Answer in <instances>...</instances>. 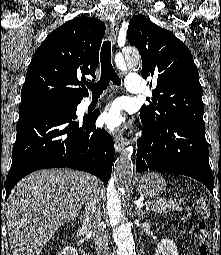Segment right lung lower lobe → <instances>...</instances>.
I'll return each instance as SVG.
<instances>
[{"mask_svg":"<svg viewBox=\"0 0 221 255\" xmlns=\"http://www.w3.org/2000/svg\"><path fill=\"white\" fill-rule=\"evenodd\" d=\"M98 115L75 120L76 116L60 108L21 109L6 180V199L20 179L44 168L87 171L106 184L112 171L114 143L104 129L96 128Z\"/></svg>","mask_w":221,"mask_h":255,"instance_id":"98d812e1","label":"right lung lower lobe"}]
</instances>
